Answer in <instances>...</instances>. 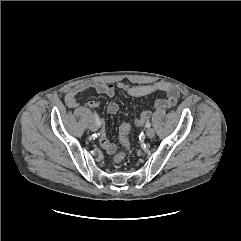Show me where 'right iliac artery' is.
<instances>
[{
	"label": "right iliac artery",
	"instance_id": "82829eb1",
	"mask_svg": "<svg viewBox=\"0 0 241 241\" xmlns=\"http://www.w3.org/2000/svg\"><path fill=\"white\" fill-rule=\"evenodd\" d=\"M94 119H95V123L98 127L101 126V122H100V119H99V116L98 114L94 111Z\"/></svg>",
	"mask_w": 241,
	"mask_h": 241
}]
</instances>
